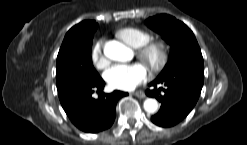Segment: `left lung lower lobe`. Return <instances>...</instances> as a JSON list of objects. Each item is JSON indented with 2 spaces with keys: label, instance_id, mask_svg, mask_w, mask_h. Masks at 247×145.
<instances>
[{
  "label": "left lung lower lobe",
  "instance_id": "left-lung-lower-lobe-1",
  "mask_svg": "<svg viewBox=\"0 0 247 145\" xmlns=\"http://www.w3.org/2000/svg\"><path fill=\"white\" fill-rule=\"evenodd\" d=\"M203 83V73L189 71L156 78L149 84L154 88L146 90L147 96L161 102L159 112L151 117L152 122L161 127H171L183 120L195 106ZM157 84H164L166 88H157Z\"/></svg>",
  "mask_w": 247,
  "mask_h": 145
}]
</instances>
